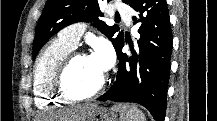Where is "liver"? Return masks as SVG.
<instances>
[{
	"mask_svg": "<svg viewBox=\"0 0 217 121\" xmlns=\"http://www.w3.org/2000/svg\"><path fill=\"white\" fill-rule=\"evenodd\" d=\"M95 107V105L83 107L77 112L76 114L71 113L70 115H64L63 117H60V119H76L77 121H85L87 114L90 113V111Z\"/></svg>",
	"mask_w": 217,
	"mask_h": 121,
	"instance_id": "1",
	"label": "liver"
}]
</instances>
